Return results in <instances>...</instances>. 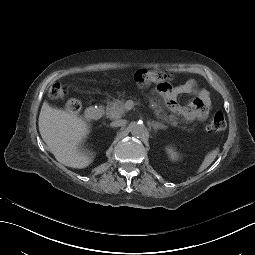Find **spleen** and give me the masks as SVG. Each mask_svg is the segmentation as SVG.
<instances>
[{
	"label": "spleen",
	"mask_w": 255,
	"mask_h": 255,
	"mask_svg": "<svg viewBox=\"0 0 255 255\" xmlns=\"http://www.w3.org/2000/svg\"><path fill=\"white\" fill-rule=\"evenodd\" d=\"M219 150L215 149L212 150L211 152L207 153L206 156L204 157V160L202 164L200 165L199 169L197 170V174L201 173L204 171L207 167L212 164V162L215 160L216 156L218 155Z\"/></svg>",
	"instance_id": "1"
}]
</instances>
